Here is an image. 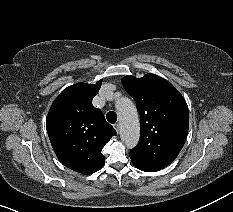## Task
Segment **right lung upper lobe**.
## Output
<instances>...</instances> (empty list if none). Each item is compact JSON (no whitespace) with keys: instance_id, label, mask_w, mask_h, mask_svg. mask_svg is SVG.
I'll return each mask as SVG.
<instances>
[{"instance_id":"cb5924a9","label":"right lung upper lobe","mask_w":233,"mask_h":212,"mask_svg":"<svg viewBox=\"0 0 233 212\" xmlns=\"http://www.w3.org/2000/svg\"><path fill=\"white\" fill-rule=\"evenodd\" d=\"M101 84L102 80L94 85L77 83L67 87L53 102L46 120L58 159L82 174L94 173L103 166L101 150L117 134L102 112L92 105Z\"/></svg>"}]
</instances>
